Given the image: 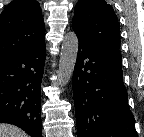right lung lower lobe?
Masks as SVG:
<instances>
[{
	"mask_svg": "<svg viewBox=\"0 0 144 137\" xmlns=\"http://www.w3.org/2000/svg\"><path fill=\"white\" fill-rule=\"evenodd\" d=\"M45 62V41L0 62V123L42 136L40 88Z\"/></svg>",
	"mask_w": 144,
	"mask_h": 137,
	"instance_id": "right-lung-lower-lobe-1",
	"label": "right lung lower lobe"
}]
</instances>
